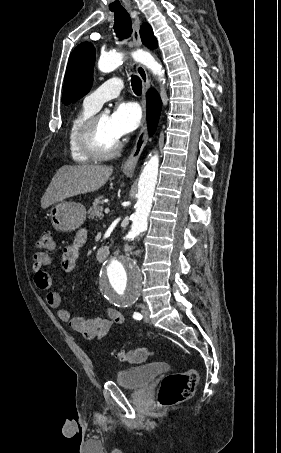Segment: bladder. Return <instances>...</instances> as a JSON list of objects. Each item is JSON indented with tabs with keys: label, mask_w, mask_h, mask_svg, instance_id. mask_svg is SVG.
I'll list each match as a JSON object with an SVG mask.
<instances>
[{
	"label": "bladder",
	"mask_w": 281,
	"mask_h": 453,
	"mask_svg": "<svg viewBox=\"0 0 281 453\" xmlns=\"http://www.w3.org/2000/svg\"><path fill=\"white\" fill-rule=\"evenodd\" d=\"M168 370L169 367L165 363H150L121 371L117 375L116 382L125 388L139 389L149 385Z\"/></svg>",
	"instance_id": "1"
}]
</instances>
